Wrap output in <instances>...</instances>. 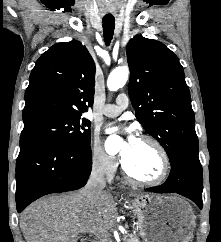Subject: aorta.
Masks as SVG:
<instances>
[{
    "label": "aorta",
    "mask_w": 221,
    "mask_h": 242,
    "mask_svg": "<svg viewBox=\"0 0 221 242\" xmlns=\"http://www.w3.org/2000/svg\"><path fill=\"white\" fill-rule=\"evenodd\" d=\"M129 76V69L127 66H121L114 69L108 79H107V87L110 91H117L122 88ZM121 138L116 135H112L108 137L106 140L105 146L107 151L119 150L121 147Z\"/></svg>",
    "instance_id": "aorta-1"
}]
</instances>
